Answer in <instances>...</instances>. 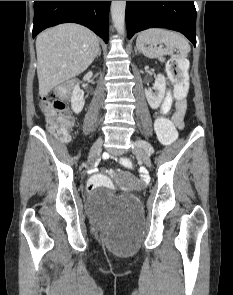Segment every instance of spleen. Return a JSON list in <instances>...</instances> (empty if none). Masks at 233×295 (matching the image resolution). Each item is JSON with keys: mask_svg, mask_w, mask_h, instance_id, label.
Here are the masks:
<instances>
[{"mask_svg": "<svg viewBox=\"0 0 233 295\" xmlns=\"http://www.w3.org/2000/svg\"><path fill=\"white\" fill-rule=\"evenodd\" d=\"M158 43L165 44L166 48L157 47ZM136 46L148 58L172 55L175 49H178L182 56H186L190 51L189 43L183 36L163 28H150L142 31L138 35Z\"/></svg>", "mask_w": 233, "mask_h": 295, "instance_id": "obj_1", "label": "spleen"}]
</instances>
